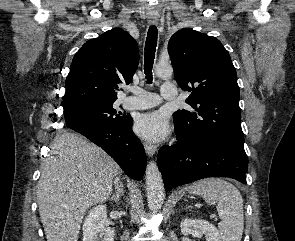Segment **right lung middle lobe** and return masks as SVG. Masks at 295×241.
<instances>
[{
    "label": "right lung middle lobe",
    "instance_id": "right-lung-middle-lobe-1",
    "mask_svg": "<svg viewBox=\"0 0 295 241\" xmlns=\"http://www.w3.org/2000/svg\"><path fill=\"white\" fill-rule=\"evenodd\" d=\"M66 125H75L86 121H103L122 125L128 120V115L117 112L113 103L90 105L64 112Z\"/></svg>",
    "mask_w": 295,
    "mask_h": 241
}]
</instances>
